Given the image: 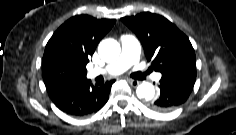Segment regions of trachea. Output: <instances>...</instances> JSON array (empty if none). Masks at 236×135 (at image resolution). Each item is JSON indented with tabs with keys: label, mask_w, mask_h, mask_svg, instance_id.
<instances>
[{
	"label": "trachea",
	"mask_w": 236,
	"mask_h": 135,
	"mask_svg": "<svg viewBox=\"0 0 236 135\" xmlns=\"http://www.w3.org/2000/svg\"><path fill=\"white\" fill-rule=\"evenodd\" d=\"M149 72L150 71H146L144 73L137 72V73L132 74L131 77H133L135 79H144Z\"/></svg>",
	"instance_id": "3493384b"
}]
</instances>
